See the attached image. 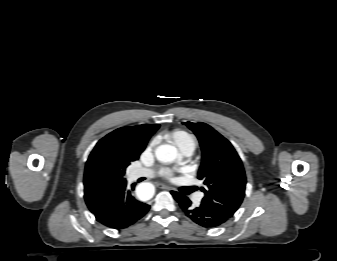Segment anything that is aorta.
<instances>
[{
    "instance_id": "aorta-1",
    "label": "aorta",
    "mask_w": 337,
    "mask_h": 261,
    "mask_svg": "<svg viewBox=\"0 0 337 261\" xmlns=\"http://www.w3.org/2000/svg\"><path fill=\"white\" fill-rule=\"evenodd\" d=\"M155 156L158 161L168 164L178 158V151L175 146L163 144L155 149ZM154 186L149 182H142L136 187V195L141 200H149L154 195Z\"/></svg>"
}]
</instances>
